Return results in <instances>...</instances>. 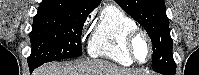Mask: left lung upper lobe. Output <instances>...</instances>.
<instances>
[{
	"label": "left lung upper lobe",
	"instance_id": "obj_1",
	"mask_svg": "<svg viewBox=\"0 0 199 75\" xmlns=\"http://www.w3.org/2000/svg\"><path fill=\"white\" fill-rule=\"evenodd\" d=\"M147 31L153 44L152 69L156 72L176 65L173 60L168 17L164 0H115Z\"/></svg>",
	"mask_w": 199,
	"mask_h": 75
}]
</instances>
